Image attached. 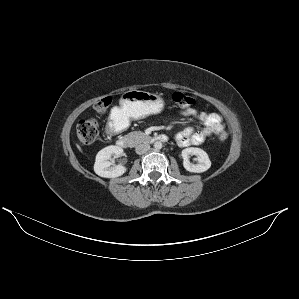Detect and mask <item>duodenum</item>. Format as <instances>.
<instances>
[{"label": "duodenum", "mask_w": 299, "mask_h": 299, "mask_svg": "<svg viewBox=\"0 0 299 299\" xmlns=\"http://www.w3.org/2000/svg\"><path fill=\"white\" fill-rule=\"evenodd\" d=\"M117 130H118L117 121L115 119H112L107 124L106 132L109 133V134H115L117 132ZM151 140L153 142H166L167 141V136L164 135V134H159V135L153 136L151 138ZM117 143L122 148H128L130 146L129 138H127V137H120L118 139Z\"/></svg>", "instance_id": "duodenum-1"}]
</instances>
